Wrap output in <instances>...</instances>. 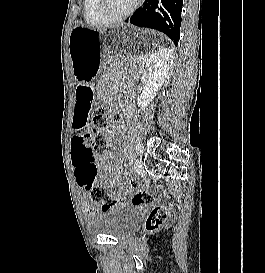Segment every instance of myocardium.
I'll return each mask as SVG.
<instances>
[{
  "label": "myocardium",
  "mask_w": 265,
  "mask_h": 273,
  "mask_svg": "<svg viewBox=\"0 0 265 273\" xmlns=\"http://www.w3.org/2000/svg\"><path fill=\"white\" fill-rule=\"evenodd\" d=\"M142 0H135L130 9L121 14H111L107 9L108 0H96V10L99 16L108 23L124 20L131 16L138 8Z\"/></svg>",
  "instance_id": "myocardium-1"
}]
</instances>
